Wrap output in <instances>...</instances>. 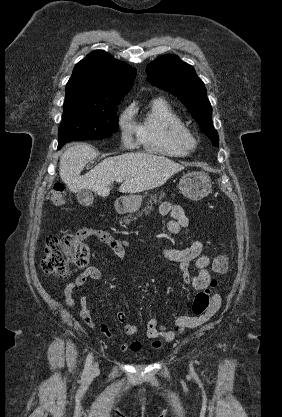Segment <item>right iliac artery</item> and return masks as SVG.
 Masks as SVG:
<instances>
[{
    "mask_svg": "<svg viewBox=\"0 0 282 417\" xmlns=\"http://www.w3.org/2000/svg\"><path fill=\"white\" fill-rule=\"evenodd\" d=\"M92 360H93V355H92V353H89L87 355L86 362H85V367H84V371H83L84 375H89L90 374Z\"/></svg>",
    "mask_w": 282,
    "mask_h": 417,
    "instance_id": "82829eb1",
    "label": "right iliac artery"
}]
</instances>
